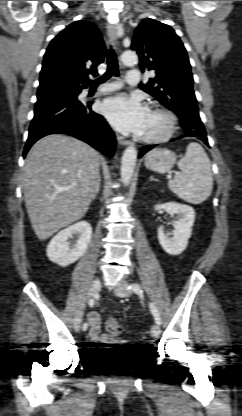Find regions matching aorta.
<instances>
[{
    "label": "aorta",
    "instance_id": "1",
    "mask_svg": "<svg viewBox=\"0 0 242 416\" xmlns=\"http://www.w3.org/2000/svg\"><path fill=\"white\" fill-rule=\"evenodd\" d=\"M138 60V57L133 51H125L121 55V61L126 65L135 64ZM137 160V150L134 146H129L125 149L122 159H121V182L124 186H128L134 174L135 166Z\"/></svg>",
    "mask_w": 242,
    "mask_h": 416
}]
</instances>
